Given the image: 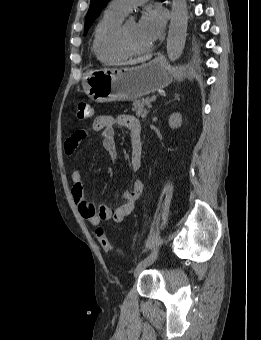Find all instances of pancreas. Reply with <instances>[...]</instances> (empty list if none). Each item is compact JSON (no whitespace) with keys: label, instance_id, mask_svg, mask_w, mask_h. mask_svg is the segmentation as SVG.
<instances>
[{"label":"pancreas","instance_id":"obj_1","mask_svg":"<svg viewBox=\"0 0 261 340\" xmlns=\"http://www.w3.org/2000/svg\"><path fill=\"white\" fill-rule=\"evenodd\" d=\"M150 102H151L150 98L135 100L133 102L132 111L135 112L138 117L145 118L149 112L148 110L145 109V106L150 104Z\"/></svg>","mask_w":261,"mask_h":340}]
</instances>
